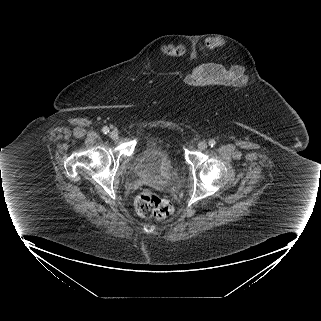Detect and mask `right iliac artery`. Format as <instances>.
Returning a JSON list of instances; mask_svg holds the SVG:
<instances>
[{
	"instance_id": "82829eb1",
	"label": "right iliac artery",
	"mask_w": 321,
	"mask_h": 321,
	"mask_svg": "<svg viewBox=\"0 0 321 321\" xmlns=\"http://www.w3.org/2000/svg\"><path fill=\"white\" fill-rule=\"evenodd\" d=\"M102 132H103L104 134L109 133V128H108V127H104V128L102 129Z\"/></svg>"
}]
</instances>
